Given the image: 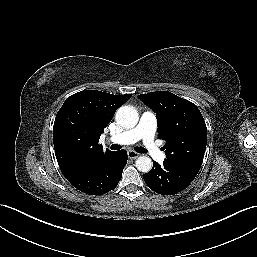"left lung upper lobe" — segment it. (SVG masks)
Instances as JSON below:
<instances>
[{
  "label": "left lung upper lobe",
  "instance_id": "5c2ea615",
  "mask_svg": "<svg viewBox=\"0 0 257 257\" xmlns=\"http://www.w3.org/2000/svg\"><path fill=\"white\" fill-rule=\"evenodd\" d=\"M138 98L156 113L159 137L166 141L165 160L199 170L207 144V128L197 106L168 91L141 94Z\"/></svg>",
  "mask_w": 257,
  "mask_h": 257
}]
</instances>
